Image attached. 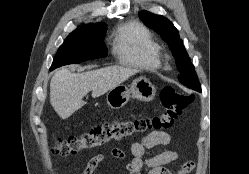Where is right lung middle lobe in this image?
I'll use <instances>...</instances> for the list:
<instances>
[{"instance_id":"right-lung-middle-lobe-1","label":"right lung middle lobe","mask_w":249,"mask_h":174,"mask_svg":"<svg viewBox=\"0 0 249 174\" xmlns=\"http://www.w3.org/2000/svg\"><path fill=\"white\" fill-rule=\"evenodd\" d=\"M107 27L103 23L92 24L69 34L60 46L50 70L107 56L104 44Z\"/></svg>"}]
</instances>
